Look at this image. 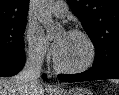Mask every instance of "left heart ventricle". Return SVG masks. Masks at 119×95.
<instances>
[{
    "instance_id": "b2bd125f",
    "label": "left heart ventricle",
    "mask_w": 119,
    "mask_h": 95,
    "mask_svg": "<svg viewBox=\"0 0 119 95\" xmlns=\"http://www.w3.org/2000/svg\"><path fill=\"white\" fill-rule=\"evenodd\" d=\"M57 42H62L56 56L57 61L65 67H77L84 64L89 55L86 41L78 35L62 33Z\"/></svg>"
}]
</instances>
